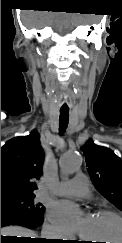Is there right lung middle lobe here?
Listing matches in <instances>:
<instances>
[{
    "instance_id": "dd1d6c3e",
    "label": "right lung middle lobe",
    "mask_w": 122,
    "mask_h": 243,
    "mask_svg": "<svg viewBox=\"0 0 122 243\" xmlns=\"http://www.w3.org/2000/svg\"><path fill=\"white\" fill-rule=\"evenodd\" d=\"M35 195L10 196L1 198V208H14L42 216L44 207L34 202Z\"/></svg>"
}]
</instances>
